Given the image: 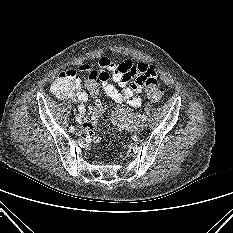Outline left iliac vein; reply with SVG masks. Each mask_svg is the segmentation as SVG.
I'll list each match as a JSON object with an SVG mask.
<instances>
[{
  "instance_id": "obj_1",
  "label": "left iliac vein",
  "mask_w": 233,
  "mask_h": 233,
  "mask_svg": "<svg viewBox=\"0 0 233 233\" xmlns=\"http://www.w3.org/2000/svg\"><path fill=\"white\" fill-rule=\"evenodd\" d=\"M146 126H147L146 122L144 121L141 122L140 125L138 126V131L142 132L143 130H145Z\"/></svg>"
}]
</instances>
